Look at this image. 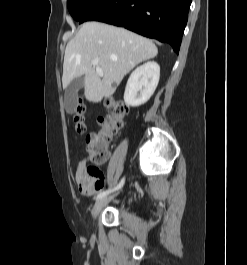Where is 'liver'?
<instances>
[{
    "label": "liver",
    "mask_w": 247,
    "mask_h": 265,
    "mask_svg": "<svg viewBox=\"0 0 247 265\" xmlns=\"http://www.w3.org/2000/svg\"><path fill=\"white\" fill-rule=\"evenodd\" d=\"M158 54L155 44L124 28L100 22L84 23L65 49L63 88L84 76V94L90 102H100L116 91L125 75L137 64ZM92 61L103 70L101 78Z\"/></svg>",
    "instance_id": "liver-1"
}]
</instances>
